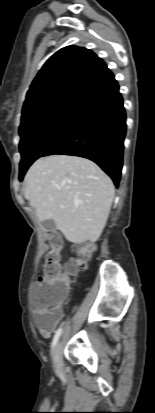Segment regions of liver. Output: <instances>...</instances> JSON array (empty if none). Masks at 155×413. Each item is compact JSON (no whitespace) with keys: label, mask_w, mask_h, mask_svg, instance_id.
Here are the masks:
<instances>
[{"label":"liver","mask_w":155,"mask_h":413,"mask_svg":"<svg viewBox=\"0 0 155 413\" xmlns=\"http://www.w3.org/2000/svg\"><path fill=\"white\" fill-rule=\"evenodd\" d=\"M25 179V198L40 222L53 220L73 243L98 240L115 194L99 166L78 156L52 155L36 160Z\"/></svg>","instance_id":"1"}]
</instances>
